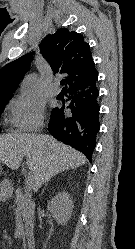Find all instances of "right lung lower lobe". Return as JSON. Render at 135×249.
Here are the masks:
<instances>
[{
  "instance_id": "obj_1",
  "label": "right lung lower lobe",
  "mask_w": 135,
  "mask_h": 249,
  "mask_svg": "<svg viewBox=\"0 0 135 249\" xmlns=\"http://www.w3.org/2000/svg\"><path fill=\"white\" fill-rule=\"evenodd\" d=\"M97 80L98 73L70 85L66 92L71 113L64 115V107L54 108L48 126L52 136L82 152L89 161L100 129Z\"/></svg>"
}]
</instances>
